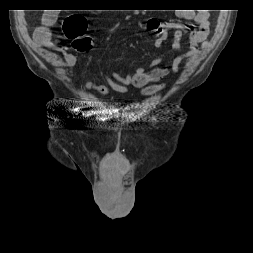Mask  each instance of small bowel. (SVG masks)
Returning <instances> with one entry per match:
<instances>
[{
  "label": "small bowel",
  "mask_w": 253,
  "mask_h": 253,
  "mask_svg": "<svg viewBox=\"0 0 253 253\" xmlns=\"http://www.w3.org/2000/svg\"><path fill=\"white\" fill-rule=\"evenodd\" d=\"M188 17L193 19L198 29H194L190 23H178L173 21L163 22L156 18L147 22V28L153 31V44L156 48H163L168 41L170 31H173L172 49L178 55L171 64L163 65V58H155L149 66H137L133 73L122 76L116 72L111 77H105L106 84H97L88 81L82 85L85 90H93L102 95L109 93V90L120 93H127L129 86L138 89L143 96L153 95L167 87V83L161 82L163 78L172 73L180 72L181 63L188 58H192L199 52V46H206L210 37L209 14L207 11L188 13ZM55 21L53 14H47L43 18L41 26L34 31V41L41 47L57 49L50 38V29ZM187 37V49L181 46L182 36ZM67 66H75L77 58L74 54L65 52L63 54Z\"/></svg>",
  "instance_id": "obj_1"
}]
</instances>
